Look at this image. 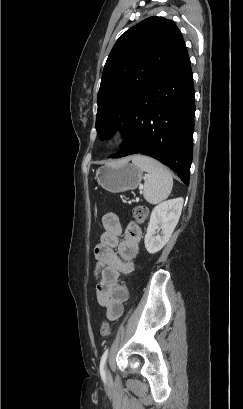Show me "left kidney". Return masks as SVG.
Segmentation results:
<instances>
[{
    "instance_id": "5707ae66",
    "label": "left kidney",
    "mask_w": 243,
    "mask_h": 409,
    "mask_svg": "<svg viewBox=\"0 0 243 409\" xmlns=\"http://www.w3.org/2000/svg\"><path fill=\"white\" fill-rule=\"evenodd\" d=\"M182 207L183 198H176L164 201L152 210L144 239L148 253L160 251L168 242L179 221Z\"/></svg>"
}]
</instances>
